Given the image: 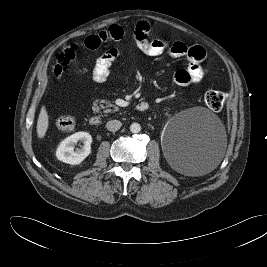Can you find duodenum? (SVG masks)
Returning a JSON list of instances; mask_svg holds the SVG:
<instances>
[{
  "mask_svg": "<svg viewBox=\"0 0 267 267\" xmlns=\"http://www.w3.org/2000/svg\"><path fill=\"white\" fill-rule=\"evenodd\" d=\"M149 109V104L148 102L146 101H141L139 103H137L136 105V110L137 111H146ZM101 118L98 117V116H92L90 119H89V123L90 125H93V126H99L101 124Z\"/></svg>",
  "mask_w": 267,
  "mask_h": 267,
  "instance_id": "duodenum-1",
  "label": "duodenum"
}]
</instances>
